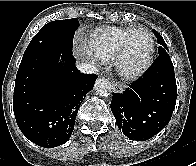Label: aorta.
I'll list each match as a JSON object with an SVG mask.
<instances>
[{
  "instance_id": "aorta-1",
  "label": "aorta",
  "mask_w": 196,
  "mask_h": 166,
  "mask_svg": "<svg viewBox=\"0 0 196 166\" xmlns=\"http://www.w3.org/2000/svg\"><path fill=\"white\" fill-rule=\"evenodd\" d=\"M94 89L102 97L109 96L112 92L111 83L108 79L99 78L96 80Z\"/></svg>"
}]
</instances>
